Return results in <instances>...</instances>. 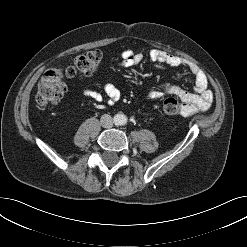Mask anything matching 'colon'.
Wrapping results in <instances>:
<instances>
[{
	"instance_id": "1",
	"label": "colon",
	"mask_w": 247,
	"mask_h": 247,
	"mask_svg": "<svg viewBox=\"0 0 247 247\" xmlns=\"http://www.w3.org/2000/svg\"><path fill=\"white\" fill-rule=\"evenodd\" d=\"M101 59V53L98 50L79 55L75 58L73 65L65 70V75L68 77L89 76L98 69ZM63 75V71L59 68L48 70L43 75L36 93V104L40 108H46L60 103L67 91ZM180 111V102L176 98H168L161 107L160 115L174 116Z\"/></svg>"
}]
</instances>
